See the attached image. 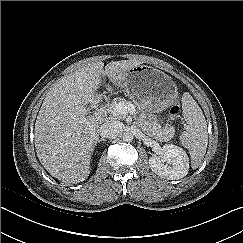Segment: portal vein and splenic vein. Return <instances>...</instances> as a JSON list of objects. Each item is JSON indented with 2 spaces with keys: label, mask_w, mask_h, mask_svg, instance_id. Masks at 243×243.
Instances as JSON below:
<instances>
[{
  "label": "portal vein and splenic vein",
  "mask_w": 243,
  "mask_h": 243,
  "mask_svg": "<svg viewBox=\"0 0 243 243\" xmlns=\"http://www.w3.org/2000/svg\"><path fill=\"white\" fill-rule=\"evenodd\" d=\"M134 113L135 112V106L131 103H127V104H124V103H119L116 107H115V113H118V114H126V113Z\"/></svg>",
  "instance_id": "obj_1"
}]
</instances>
